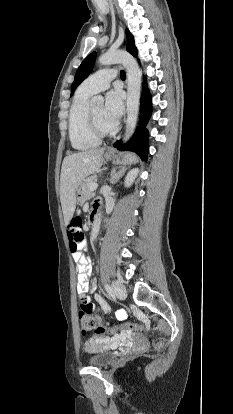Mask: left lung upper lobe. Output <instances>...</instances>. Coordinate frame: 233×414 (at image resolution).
<instances>
[{"label": "left lung upper lobe", "mask_w": 233, "mask_h": 414, "mask_svg": "<svg viewBox=\"0 0 233 414\" xmlns=\"http://www.w3.org/2000/svg\"><path fill=\"white\" fill-rule=\"evenodd\" d=\"M126 36H127V51L133 55L134 57H137V50L136 47L134 45V39L132 34L129 32V30H126ZM95 57H96V53L93 52L90 55H88L84 61L82 62V64L80 65V67L78 68L74 81L72 83V87H71V96L73 94V92L75 91V89L77 88V86L88 77V75L91 73L93 66H94V62H95Z\"/></svg>", "instance_id": "obj_1"}]
</instances>
